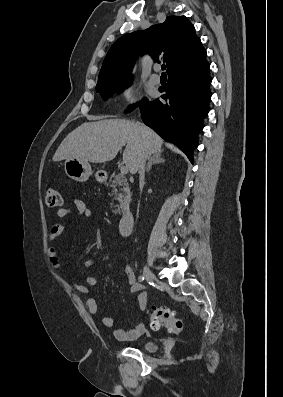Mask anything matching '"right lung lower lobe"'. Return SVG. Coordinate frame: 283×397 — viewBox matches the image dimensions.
Masks as SVG:
<instances>
[{
	"instance_id": "obj_1",
	"label": "right lung lower lobe",
	"mask_w": 283,
	"mask_h": 397,
	"mask_svg": "<svg viewBox=\"0 0 283 397\" xmlns=\"http://www.w3.org/2000/svg\"><path fill=\"white\" fill-rule=\"evenodd\" d=\"M206 57L168 73V84L161 98L140 105L143 122L163 139L177 145L193 162L197 136L209 112L211 91Z\"/></svg>"
}]
</instances>
